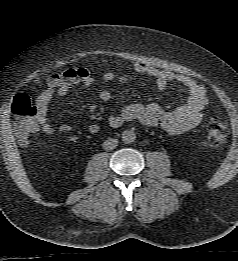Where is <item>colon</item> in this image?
Returning a JSON list of instances; mask_svg holds the SVG:
<instances>
[{"label": "colon", "mask_w": 238, "mask_h": 261, "mask_svg": "<svg viewBox=\"0 0 238 261\" xmlns=\"http://www.w3.org/2000/svg\"><path fill=\"white\" fill-rule=\"evenodd\" d=\"M82 68H66L58 77L69 78L82 75ZM14 115V130L21 145L25 146L29 142V137L39 129L37 122V107L32 103L27 95H18L12 103ZM227 133L225 123L218 117L210 119L206 129L204 143L207 146H218L221 144Z\"/></svg>", "instance_id": "1"}]
</instances>
